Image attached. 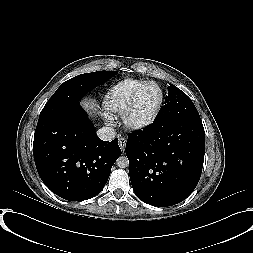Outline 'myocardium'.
I'll use <instances>...</instances> for the list:
<instances>
[{
	"instance_id": "1",
	"label": "myocardium",
	"mask_w": 253,
	"mask_h": 253,
	"mask_svg": "<svg viewBox=\"0 0 253 253\" xmlns=\"http://www.w3.org/2000/svg\"><path fill=\"white\" fill-rule=\"evenodd\" d=\"M148 85H155L159 91H160V101L157 105V107L155 108V110L153 111V113L145 120L143 121H137L134 119V113L135 110L138 106V102H139V98L141 96V93L143 92V90L148 86ZM164 99H165V95H164V91L161 88V86L155 82V81H145L143 84H141L136 91L134 92L130 103L128 104L127 108L125 109V111L123 112V122L124 124L134 130V131H142L144 129H147L148 127H150L155 120L157 119L163 104H164Z\"/></svg>"
}]
</instances>
